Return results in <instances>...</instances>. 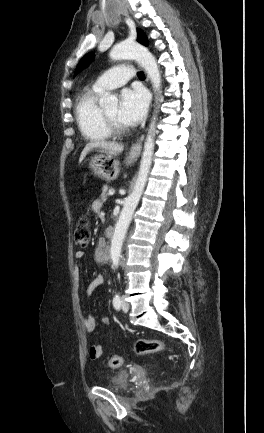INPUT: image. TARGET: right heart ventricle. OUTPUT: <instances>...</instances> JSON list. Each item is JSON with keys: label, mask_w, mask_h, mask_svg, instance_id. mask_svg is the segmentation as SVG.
Masks as SVG:
<instances>
[{"label": "right heart ventricle", "mask_w": 264, "mask_h": 433, "mask_svg": "<svg viewBox=\"0 0 264 433\" xmlns=\"http://www.w3.org/2000/svg\"><path fill=\"white\" fill-rule=\"evenodd\" d=\"M102 92L92 88L84 91L77 99L75 118L81 134L90 141H101L111 136L107 127L99 98Z\"/></svg>", "instance_id": "right-heart-ventricle-1"}]
</instances>
